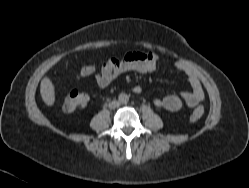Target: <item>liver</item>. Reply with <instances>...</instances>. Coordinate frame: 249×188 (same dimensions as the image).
I'll use <instances>...</instances> for the list:
<instances>
[{
  "mask_svg": "<svg viewBox=\"0 0 249 188\" xmlns=\"http://www.w3.org/2000/svg\"><path fill=\"white\" fill-rule=\"evenodd\" d=\"M40 94L47 106H53L55 103V87L48 77H44L41 81Z\"/></svg>",
  "mask_w": 249,
  "mask_h": 188,
  "instance_id": "obj_1",
  "label": "liver"
}]
</instances>
